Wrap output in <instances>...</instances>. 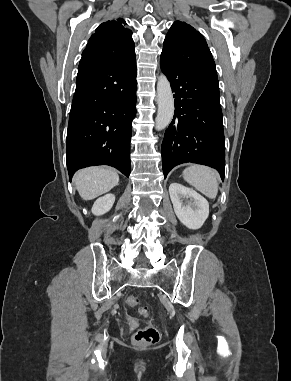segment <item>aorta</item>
<instances>
[{
  "instance_id": "762f6f07",
  "label": "aorta",
  "mask_w": 291,
  "mask_h": 381,
  "mask_svg": "<svg viewBox=\"0 0 291 381\" xmlns=\"http://www.w3.org/2000/svg\"><path fill=\"white\" fill-rule=\"evenodd\" d=\"M158 112L155 119V128L160 131L165 129L174 115V98L170 83L164 74H161L157 82Z\"/></svg>"
}]
</instances>
